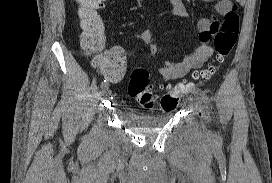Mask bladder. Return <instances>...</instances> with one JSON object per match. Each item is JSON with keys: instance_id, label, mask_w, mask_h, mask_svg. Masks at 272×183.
I'll return each instance as SVG.
<instances>
[{"instance_id": "bladder-1", "label": "bladder", "mask_w": 272, "mask_h": 183, "mask_svg": "<svg viewBox=\"0 0 272 183\" xmlns=\"http://www.w3.org/2000/svg\"><path fill=\"white\" fill-rule=\"evenodd\" d=\"M121 119L131 128L151 131L165 127L171 119V114L140 115L134 112H123Z\"/></svg>"}]
</instances>
